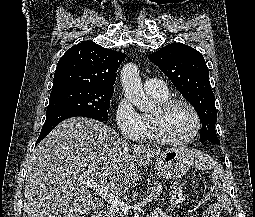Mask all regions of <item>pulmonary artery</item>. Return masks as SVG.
<instances>
[{
    "mask_svg": "<svg viewBox=\"0 0 255 217\" xmlns=\"http://www.w3.org/2000/svg\"><path fill=\"white\" fill-rule=\"evenodd\" d=\"M144 88L147 92L162 93L167 91L165 82L156 78L147 79L144 83Z\"/></svg>",
    "mask_w": 255,
    "mask_h": 217,
    "instance_id": "obj_1",
    "label": "pulmonary artery"
}]
</instances>
